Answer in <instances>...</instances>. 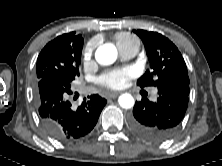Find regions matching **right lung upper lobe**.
Listing matches in <instances>:
<instances>
[{
	"label": "right lung upper lobe",
	"instance_id": "right-lung-upper-lobe-1",
	"mask_svg": "<svg viewBox=\"0 0 222 166\" xmlns=\"http://www.w3.org/2000/svg\"><path fill=\"white\" fill-rule=\"evenodd\" d=\"M72 33H67V34H63L61 36H58L57 38H55L54 40L50 41V44H57V43H65L69 37L71 36Z\"/></svg>",
	"mask_w": 222,
	"mask_h": 166
}]
</instances>
